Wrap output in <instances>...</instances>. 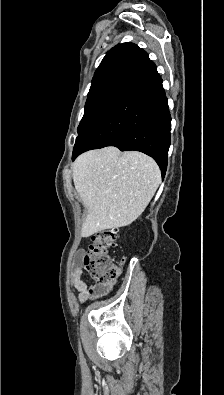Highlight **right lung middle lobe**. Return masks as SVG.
<instances>
[{"label":"right lung middle lobe","mask_w":224,"mask_h":395,"mask_svg":"<svg viewBox=\"0 0 224 395\" xmlns=\"http://www.w3.org/2000/svg\"><path fill=\"white\" fill-rule=\"evenodd\" d=\"M119 74V70L113 71L111 73L105 74L97 79L92 80V85L88 93V98L85 105L84 116L78 127V136L82 133L88 120L103 100L105 95L108 93L112 87L114 81Z\"/></svg>","instance_id":"obj_1"}]
</instances>
